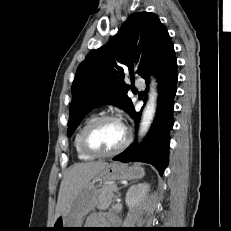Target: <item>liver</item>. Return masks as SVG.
I'll return each mask as SVG.
<instances>
[{
	"instance_id": "obj_1",
	"label": "liver",
	"mask_w": 231,
	"mask_h": 231,
	"mask_svg": "<svg viewBox=\"0 0 231 231\" xmlns=\"http://www.w3.org/2000/svg\"><path fill=\"white\" fill-rule=\"evenodd\" d=\"M108 165L107 162H82L74 164L65 174L60 184L54 221L65 214L72 200Z\"/></svg>"
}]
</instances>
